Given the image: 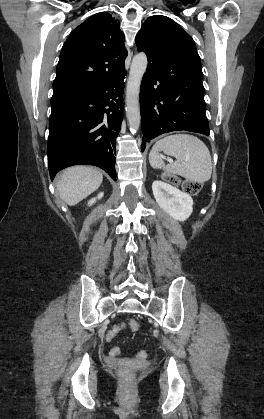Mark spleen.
Wrapping results in <instances>:
<instances>
[{
    "label": "spleen",
    "mask_w": 264,
    "mask_h": 419,
    "mask_svg": "<svg viewBox=\"0 0 264 419\" xmlns=\"http://www.w3.org/2000/svg\"><path fill=\"white\" fill-rule=\"evenodd\" d=\"M159 151L174 156L176 161L165 165ZM149 162L153 168H161L193 182H206L212 174L211 155L207 146L189 134H175L157 141L149 154Z\"/></svg>",
    "instance_id": "obj_1"
}]
</instances>
